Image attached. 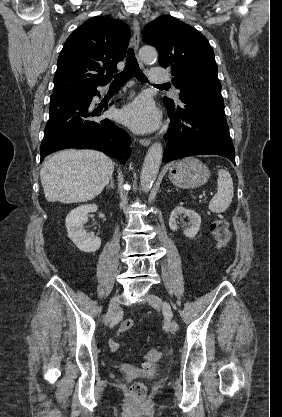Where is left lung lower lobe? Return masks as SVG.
Listing matches in <instances>:
<instances>
[{
    "mask_svg": "<svg viewBox=\"0 0 282 417\" xmlns=\"http://www.w3.org/2000/svg\"><path fill=\"white\" fill-rule=\"evenodd\" d=\"M183 105L165 104L171 118L163 162L192 155H220L235 164L221 89L196 86L180 97Z\"/></svg>",
    "mask_w": 282,
    "mask_h": 417,
    "instance_id": "obj_1",
    "label": "left lung lower lobe"
}]
</instances>
